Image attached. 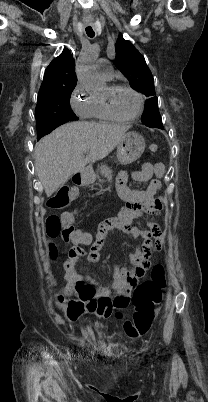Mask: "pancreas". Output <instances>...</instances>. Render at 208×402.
<instances>
[{"label": "pancreas", "instance_id": "1", "mask_svg": "<svg viewBox=\"0 0 208 402\" xmlns=\"http://www.w3.org/2000/svg\"><path fill=\"white\" fill-rule=\"evenodd\" d=\"M109 168H107V166H101V168H99V172L100 174H106V172H108ZM90 176H96V174H90Z\"/></svg>", "mask_w": 208, "mask_h": 402}]
</instances>
